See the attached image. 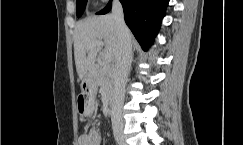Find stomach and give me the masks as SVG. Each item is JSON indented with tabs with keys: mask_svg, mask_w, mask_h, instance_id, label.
<instances>
[{
	"mask_svg": "<svg viewBox=\"0 0 243 145\" xmlns=\"http://www.w3.org/2000/svg\"><path fill=\"white\" fill-rule=\"evenodd\" d=\"M82 92L77 98L78 112L83 116H90L91 107L95 103L94 94L96 91V84L93 80L83 81L81 85Z\"/></svg>",
	"mask_w": 243,
	"mask_h": 145,
	"instance_id": "obj_1",
	"label": "stomach"
}]
</instances>
